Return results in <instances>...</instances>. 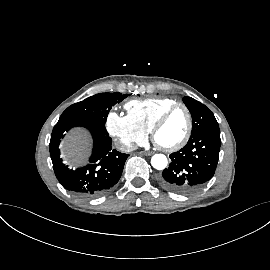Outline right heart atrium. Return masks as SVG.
<instances>
[{"label":"right heart atrium","mask_w":270,"mask_h":270,"mask_svg":"<svg viewBox=\"0 0 270 270\" xmlns=\"http://www.w3.org/2000/svg\"><path fill=\"white\" fill-rule=\"evenodd\" d=\"M106 128L124 147L134 148L146 141L148 132L142 129L128 114L110 112L106 118Z\"/></svg>","instance_id":"d8ad5b80"}]
</instances>
